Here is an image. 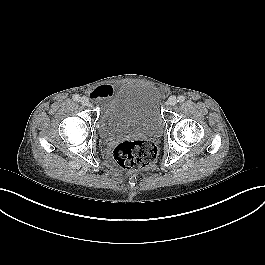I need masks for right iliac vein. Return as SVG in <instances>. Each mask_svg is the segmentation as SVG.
Instances as JSON below:
<instances>
[{"label": "right iliac vein", "mask_w": 265, "mask_h": 265, "mask_svg": "<svg viewBox=\"0 0 265 265\" xmlns=\"http://www.w3.org/2000/svg\"><path fill=\"white\" fill-rule=\"evenodd\" d=\"M80 102L84 106H88L90 104L89 99L87 97H82Z\"/></svg>", "instance_id": "obj_1"}]
</instances>
